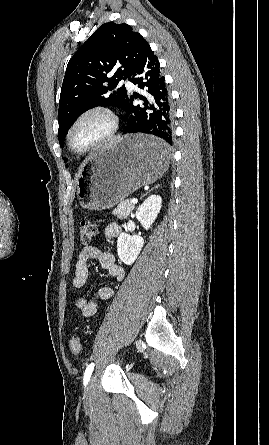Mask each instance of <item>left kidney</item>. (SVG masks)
Returning a JSON list of instances; mask_svg holds the SVG:
<instances>
[{"label": "left kidney", "instance_id": "obj_1", "mask_svg": "<svg viewBox=\"0 0 269 445\" xmlns=\"http://www.w3.org/2000/svg\"><path fill=\"white\" fill-rule=\"evenodd\" d=\"M162 198L159 195L149 196L136 211V218L148 230L161 210ZM144 245L140 236L122 233L117 240V252L120 260L126 265L135 262Z\"/></svg>", "mask_w": 269, "mask_h": 445}]
</instances>
